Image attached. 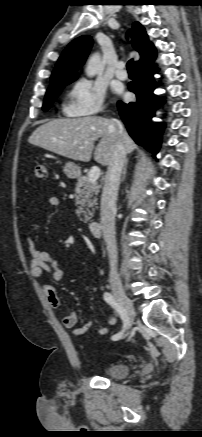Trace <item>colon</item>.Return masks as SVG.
Listing matches in <instances>:
<instances>
[{
  "label": "colon",
  "mask_w": 202,
  "mask_h": 437,
  "mask_svg": "<svg viewBox=\"0 0 202 437\" xmlns=\"http://www.w3.org/2000/svg\"><path fill=\"white\" fill-rule=\"evenodd\" d=\"M33 175L35 178L44 179L47 175V169L44 163L38 162L34 166Z\"/></svg>",
  "instance_id": "1"
}]
</instances>
